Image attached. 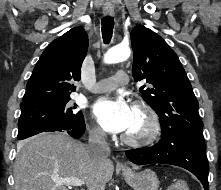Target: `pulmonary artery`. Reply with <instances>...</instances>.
<instances>
[{"instance_id":"1","label":"pulmonary artery","mask_w":221,"mask_h":190,"mask_svg":"<svg viewBox=\"0 0 221 190\" xmlns=\"http://www.w3.org/2000/svg\"><path fill=\"white\" fill-rule=\"evenodd\" d=\"M129 83V76L125 71L119 70L114 76L105 78L97 82L91 88L93 93H102L115 89L118 86H125Z\"/></svg>"}]
</instances>
